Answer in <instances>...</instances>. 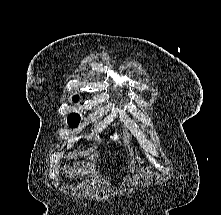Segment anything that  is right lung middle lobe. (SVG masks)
<instances>
[{
    "instance_id": "dd1d6c3e",
    "label": "right lung middle lobe",
    "mask_w": 221,
    "mask_h": 215,
    "mask_svg": "<svg viewBox=\"0 0 221 215\" xmlns=\"http://www.w3.org/2000/svg\"><path fill=\"white\" fill-rule=\"evenodd\" d=\"M79 121H80V117L76 113H71L68 116V124L71 128H76L79 124Z\"/></svg>"
}]
</instances>
